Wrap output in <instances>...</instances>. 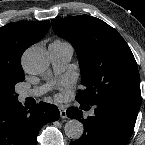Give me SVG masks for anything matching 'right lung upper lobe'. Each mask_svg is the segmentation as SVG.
Listing matches in <instances>:
<instances>
[{
    "label": "right lung upper lobe",
    "instance_id": "1",
    "mask_svg": "<svg viewBox=\"0 0 145 145\" xmlns=\"http://www.w3.org/2000/svg\"><path fill=\"white\" fill-rule=\"evenodd\" d=\"M49 28L48 20L18 21L0 27V91L24 80L21 56L28 47L42 39Z\"/></svg>",
    "mask_w": 145,
    "mask_h": 145
}]
</instances>
